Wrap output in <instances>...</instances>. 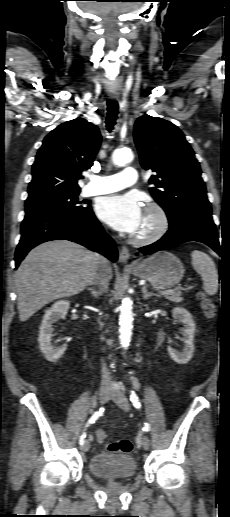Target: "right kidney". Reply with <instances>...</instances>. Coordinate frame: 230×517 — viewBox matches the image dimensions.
Here are the masks:
<instances>
[{"mask_svg": "<svg viewBox=\"0 0 230 517\" xmlns=\"http://www.w3.org/2000/svg\"><path fill=\"white\" fill-rule=\"evenodd\" d=\"M70 306L69 301L60 300L55 302L51 308H49L43 316L42 323L39 331V347L41 352L44 354L46 360L50 362L57 361L65 352L67 344L60 347H54L51 343V337L53 332V324L59 319L65 318Z\"/></svg>", "mask_w": 230, "mask_h": 517, "instance_id": "ca27d5eb", "label": "right kidney"}]
</instances>
